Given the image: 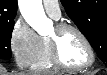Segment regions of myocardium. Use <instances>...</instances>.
Instances as JSON below:
<instances>
[{"label": "myocardium", "instance_id": "obj_1", "mask_svg": "<svg viewBox=\"0 0 107 75\" xmlns=\"http://www.w3.org/2000/svg\"><path fill=\"white\" fill-rule=\"evenodd\" d=\"M69 30L74 31L80 37V39L83 41L88 51L89 59L83 65H79V66L68 65L64 62V60L61 57L58 38L63 32L69 31ZM55 32H56L55 36L48 38V43H49V50H50V59L56 68L66 70V71H83L88 69L94 64L95 62L94 48L91 42L89 41L88 37L79 27L71 23L63 22L55 26Z\"/></svg>", "mask_w": 107, "mask_h": 75}]
</instances>
